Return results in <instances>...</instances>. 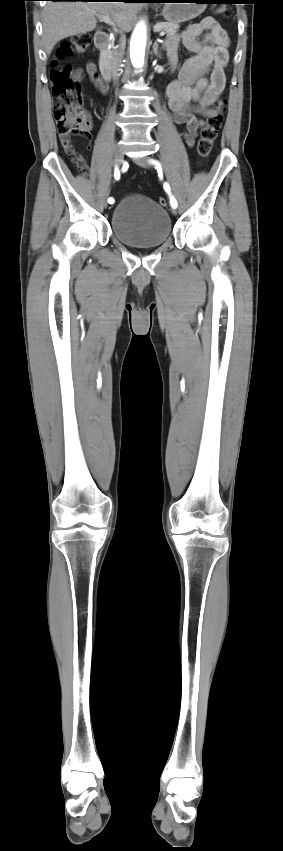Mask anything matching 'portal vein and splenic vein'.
I'll use <instances>...</instances> for the list:
<instances>
[{
  "mask_svg": "<svg viewBox=\"0 0 283 851\" xmlns=\"http://www.w3.org/2000/svg\"><path fill=\"white\" fill-rule=\"evenodd\" d=\"M96 16H97L99 19H101L103 22H105L106 24H108V25L112 26V27L115 29V23H114V21H112V19L109 17V15H99V14H96ZM164 35H165V32H164V31H162V32L160 33V36H164Z\"/></svg>",
  "mask_w": 283,
  "mask_h": 851,
  "instance_id": "obj_1",
  "label": "portal vein and splenic vein"
}]
</instances>
